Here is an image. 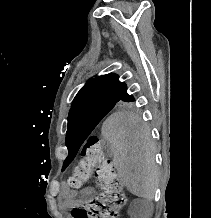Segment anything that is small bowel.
Listing matches in <instances>:
<instances>
[{"mask_svg":"<svg viewBox=\"0 0 211 218\" xmlns=\"http://www.w3.org/2000/svg\"><path fill=\"white\" fill-rule=\"evenodd\" d=\"M92 195V189H85L83 192L78 193L64 185L61 190V199L63 200V205L68 208H74L80 204L86 203L91 199Z\"/></svg>","mask_w":211,"mask_h":218,"instance_id":"1","label":"small bowel"}]
</instances>
